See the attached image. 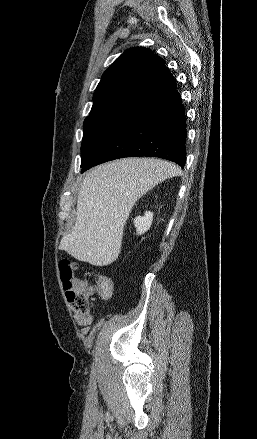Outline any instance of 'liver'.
<instances>
[{"label": "liver", "instance_id": "liver-1", "mask_svg": "<svg viewBox=\"0 0 257 439\" xmlns=\"http://www.w3.org/2000/svg\"><path fill=\"white\" fill-rule=\"evenodd\" d=\"M180 174L176 165L154 158H124L93 168L83 179L75 225L63 236L60 249L94 266L113 263L135 202L158 183Z\"/></svg>", "mask_w": 257, "mask_h": 439}]
</instances>
